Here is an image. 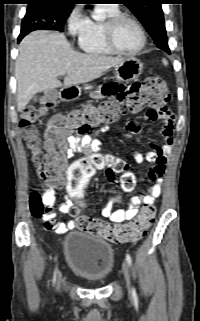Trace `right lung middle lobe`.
<instances>
[{
  "mask_svg": "<svg viewBox=\"0 0 200 321\" xmlns=\"http://www.w3.org/2000/svg\"><path fill=\"white\" fill-rule=\"evenodd\" d=\"M71 10L48 4H28L18 40L20 41L25 35L34 30H57L62 32Z\"/></svg>",
  "mask_w": 200,
  "mask_h": 321,
  "instance_id": "dd1d6c3e",
  "label": "right lung middle lobe"
}]
</instances>
